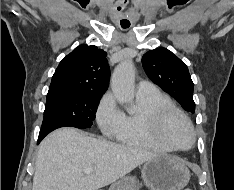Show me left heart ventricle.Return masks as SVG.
<instances>
[{"label": "left heart ventricle", "instance_id": "left-heart-ventricle-1", "mask_svg": "<svg viewBox=\"0 0 234 190\" xmlns=\"http://www.w3.org/2000/svg\"><path fill=\"white\" fill-rule=\"evenodd\" d=\"M167 138L175 145L186 146L191 139L190 131L185 122L179 116H172L165 128Z\"/></svg>", "mask_w": 234, "mask_h": 190}]
</instances>
